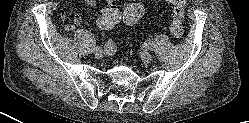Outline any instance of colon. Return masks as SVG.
<instances>
[{"label":"colon","instance_id":"obj_1","mask_svg":"<svg viewBox=\"0 0 249 123\" xmlns=\"http://www.w3.org/2000/svg\"><path fill=\"white\" fill-rule=\"evenodd\" d=\"M173 6L171 14L170 31L176 38H182L184 35L183 19L185 15L186 0H170ZM145 14V7L137 2L127 3L120 10L114 4H108L101 11L98 24L101 28L110 29L114 27L121 19L128 24L136 23Z\"/></svg>","mask_w":249,"mask_h":123}]
</instances>
